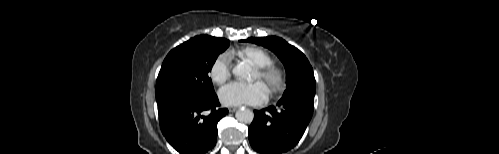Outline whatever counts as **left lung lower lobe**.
Here are the masks:
<instances>
[{
	"instance_id": "1",
	"label": "left lung lower lobe",
	"mask_w": 499,
	"mask_h": 154,
	"mask_svg": "<svg viewBox=\"0 0 499 154\" xmlns=\"http://www.w3.org/2000/svg\"><path fill=\"white\" fill-rule=\"evenodd\" d=\"M314 95L291 94L281 98L276 106L255 110L249 127L252 148L261 154H280L292 149L312 118Z\"/></svg>"
}]
</instances>
